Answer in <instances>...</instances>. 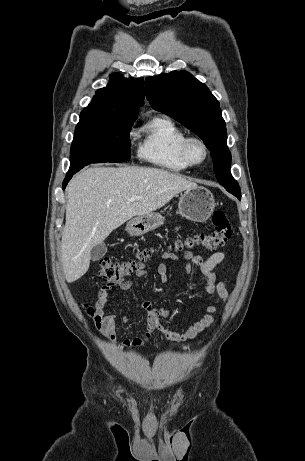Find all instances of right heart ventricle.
I'll list each match as a JSON object with an SVG mask.
<instances>
[{
  "instance_id": "obj_1",
  "label": "right heart ventricle",
  "mask_w": 305,
  "mask_h": 461,
  "mask_svg": "<svg viewBox=\"0 0 305 461\" xmlns=\"http://www.w3.org/2000/svg\"><path fill=\"white\" fill-rule=\"evenodd\" d=\"M138 154L145 161L170 171H184L190 164L182 155L186 132L172 119L155 116L140 130Z\"/></svg>"
}]
</instances>
